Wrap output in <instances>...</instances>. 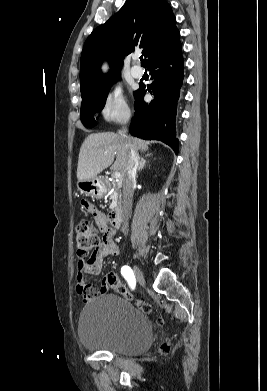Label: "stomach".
<instances>
[{
	"instance_id": "stomach-1",
	"label": "stomach",
	"mask_w": 267,
	"mask_h": 391,
	"mask_svg": "<svg viewBox=\"0 0 267 391\" xmlns=\"http://www.w3.org/2000/svg\"><path fill=\"white\" fill-rule=\"evenodd\" d=\"M77 188L82 194L92 198H101L107 192L103 179L97 176L89 180L78 181Z\"/></svg>"
}]
</instances>
